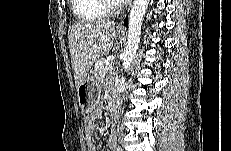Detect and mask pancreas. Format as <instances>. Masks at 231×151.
Here are the masks:
<instances>
[{
	"mask_svg": "<svg viewBox=\"0 0 231 151\" xmlns=\"http://www.w3.org/2000/svg\"><path fill=\"white\" fill-rule=\"evenodd\" d=\"M105 59H100L94 67L95 78L98 82L103 80V78L110 72H112L113 68L111 65L104 64Z\"/></svg>",
	"mask_w": 231,
	"mask_h": 151,
	"instance_id": "cf45deb5",
	"label": "pancreas"
}]
</instances>
